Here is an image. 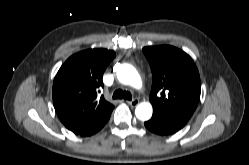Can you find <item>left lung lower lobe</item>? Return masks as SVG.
Returning <instances> with one entry per match:
<instances>
[{"instance_id":"1","label":"left lung lower lobe","mask_w":249,"mask_h":165,"mask_svg":"<svg viewBox=\"0 0 249 165\" xmlns=\"http://www.w3.org/2000/svg\"><path fill=\"white\" fill-rule=\"evenodd\" d=\"M187 121L178 117L153 112L152 118L145 122V127L158 135H171L186 125Z\"/></svg>"}]
</instances>
